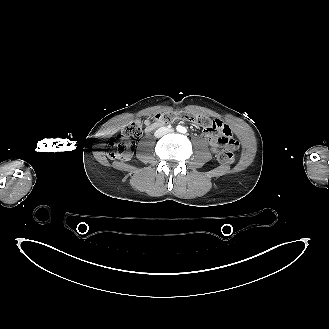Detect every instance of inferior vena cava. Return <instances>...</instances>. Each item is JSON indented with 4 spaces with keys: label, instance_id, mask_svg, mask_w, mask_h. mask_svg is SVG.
Returning a JSON list of instances; mask_svg holds the SVG:
<instances>
[{
    "label": "inferior vena cava",
    "instance_id": "obj_1",
    "mask_svg": "<svg viewBox=\"0 0 329 329\" xmlns=\"http://www.w3.org/2000/svg\"><path fill=\"white\" fill-rule=\"evenodd\" d=\"M168 132H169V129L167 127H161L158 130H156L155 137L160 138Z\"/></svg>",
    "mask_w": 329,
    "mask_h": 329
}]
</instances>
